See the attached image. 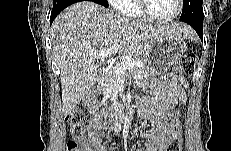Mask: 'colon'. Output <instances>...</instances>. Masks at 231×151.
<instances>
[{
	"instance_id": "obj_1",
	"label": "colon",
	"mask_w": 231,
	"mask_h": 151,
	"mask_svg": "<svg viewBox=\"0 0 231 151\" xmlns=\"http://www.w3.org/2000/svg\"><path fill=\"white\" fill-rule=\"evenodd\" d=\"M196 64V58L193 54L183 55L176 63L175 69L182 75L193 73ZM67 122L70 126L73 141L67 145L68 151H79V145L86 139L84 113L80 109L73 110L67 116ZM170 141L166 151H182V123L180 113L173 109L169 120Z\"/></svg>"
}]
</instances>
